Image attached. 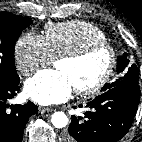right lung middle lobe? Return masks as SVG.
Wrapping results in <instances>:
<instances>
[{
	"label": "right lung middle lobe",
	"instance_id": "dd1d6c3e",
	"mask_svg": "<svg viewBox=\"0 0 142 142\" xmlns=\"http://www.w3.org/2000/svg\"><path fill=\"white\" fill-rule=\"evenodd\" d=\"M31 20L8 12H0V86L19 79L14 62V47Z\"/></svg>",
	"mask_w": 142,
	"mask_h": 142
}]
</instances>
